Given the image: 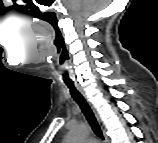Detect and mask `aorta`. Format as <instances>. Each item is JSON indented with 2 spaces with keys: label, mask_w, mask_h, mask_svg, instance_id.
Wrapping results in <instances>:
<instances>
[{
  "label": "aorta",
  "mask_w": 158,
  "mask_h": 143,
  "mask_svg": "<svg viewBox=\"0 0 158 143\" xmlns=\"http://www.w3.org/2000/svg\"><path fill=\"white\" fill-rule=\"evenodd\" d=\"M86 134H87L86 125L79 124L71 130L68 140L70 142H79L86 136Z\"/></svg>",
  "instance_id": "762f6f07"
}]
</instances>
